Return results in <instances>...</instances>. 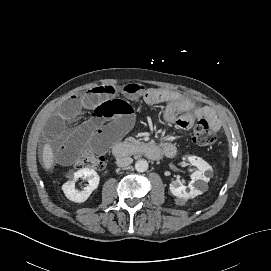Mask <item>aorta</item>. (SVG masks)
Returning a JSON list of instances; mask_svg holds the SVG:
<instances>
[{
  "instance_id": "1",
  "label": "aorta",
  "mask_w": 271,
  "mask_h": 271,
  "mask_svg": "<svg viewBox=\"0 0 271 271\" xmlns=\"http://www.w3.org/2000/svg\"><path fill=\"white\" fill-rule=\"evenodd\" d=\"M137 172H145L148 169V162L145 159H140L135 163Z\"/></svg>"
}]
</instances>
